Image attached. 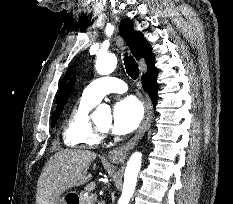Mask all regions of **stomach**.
<instances>
[{
  "mask_svg": "<svg viewBox=\"0 0 233 204\" xmlns=\"http://www.w3.org/2000/svg\"><path fill=\"white\" fill-rule=\"evenodd\" d=\"M66 196H67V195H65V196H63V197H60V198L55 202V204H67V202H66Z\"/></svg>",
  "mask_w": 233,
  "mask_h": 204,
  "instance_id": "stomach-1",
  "label": "stomach"
}]
</instances>
